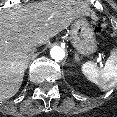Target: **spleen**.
<instances>
[{"label": "spleen", "instance_id": "3e777b00", "mask_svg": "<svg viewBox=\"0 0 117 117\" xmlns=\"http://www.w3.org/2000/svg\"><path fill=\"white\" fill-rule=\"evenodd\" d=\"M82 72L102 90L111 89L117 84V49L111 51L104 68L99 69L96 64L86 62L82 66Z\"/></svg>", "mask_w": 117, "mask_h": 117}]
</instances>
